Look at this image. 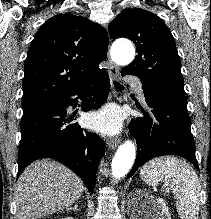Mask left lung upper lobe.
Segmentation results:
<instances>
[{"mask_svg":"<svg viewBox=\"0 0 211 219\" xmlns=\"http://www.w3.org/2000/svg\"><path fill=\"white\" fill-rule=\"evenodd\" d=\"M108 30L113 39L129 38L137 47L138 55L122 71L138 76L142 83L183 85L174 38L157 15L140 8L125 9Z\"/></svg>","mask_w":211,"mask_h":219,"instance_id":"left-lung-upper-lobe-1","label":"left lung upper lobe"}]
</instances>
